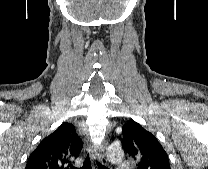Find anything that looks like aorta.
Masks as SVG:
<instances>
[{
    "instance_id": "obj_1",
    "label": "aorta",
    "mask_w": 208,
    "mask_h": 169,
    "mask_svg": "<svg viewBox=\"0 0 208 169\" xmlns=\"http://www.w3.org/2000/svg\"><path fill=\"white\" fill-rule=\"evenodd\" d=\"M108 157L112 162L121 161L123 158V151L119 147H109L108 148Z\"/></svg>"
}]
</instances>
